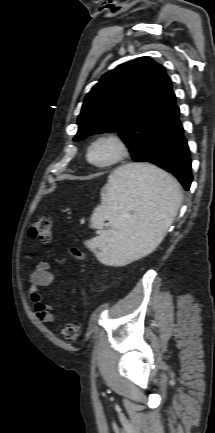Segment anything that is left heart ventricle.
<instances>
[{"mask_svg":"<svg viewBox=\"0 0 215 433\" xmlns=\"http://www.w3.org/2000/svg\"><path fill=\"white\" fill-rule=\"evenodd\" d=\"M115 151L112 143L102 142L92 150L91 159L95 162H106L114 156Z\"/></svg>","mask_w":215,"mask_h":433,"instance_id":"obj_1","label":"left heart ventricle"}]
</instances>
